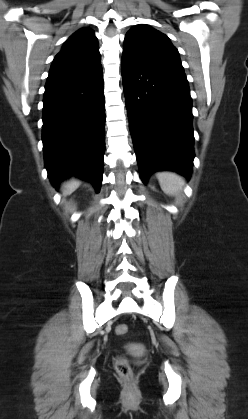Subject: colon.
<instances>
[{
  "label": "colon",
  "mask_w": 248,
  "mask_h": 419,
  "mask_svg": "<svg viewBox=\"0 0 248 419\" xmlns=\"http://www.w3.org/2000/svg\"><path fill=\"white\" fill-rule=\"evenodd\" d=\"M128 332V327L125 324H120L116 328L118 335H125ZM115 370L122 378L130 381L132 379V369L128 360L123 356H117L114 362Z\"/></svg>",
  "instance_id": "colon-1"
}]
</instances>
